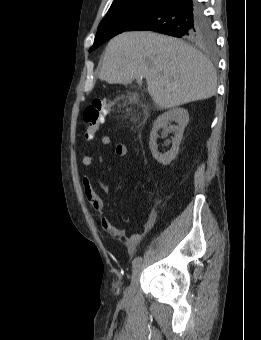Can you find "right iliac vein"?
<instances>
[{
  "mask_svg": "<svg viewBox=\"0 0 261 340\" xmlns=\"http://www.w3.org/2000/svg\"><path fill=\"white\" fill-rule=\"evenodd\" d=\"M145 266V262H140V264L138 266H136L132 272V276H131V282L130 285L127 287L125 294H124V298L123 300L125 302H128L132 299L135 289H136V285L140 276V273L142 271V269Z\"/></svg>",
  "mask_w": 261,
  "mask_h": 340,
  "instance_id": "obj_1",
  "label": "right iliac vein"
}]
</instances>
